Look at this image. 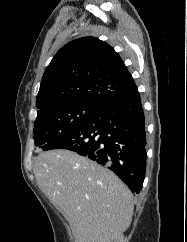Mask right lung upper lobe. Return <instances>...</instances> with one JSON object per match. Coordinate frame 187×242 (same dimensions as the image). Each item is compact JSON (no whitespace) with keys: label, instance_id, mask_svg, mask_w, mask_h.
Returning a JSON list of instances; mask_svg holds the SVG:
<instances>
[{"label":"right lung upper lobe","instance_id":"cb5924a9","mask_svg":"<svg viewBox=\"0 0 187 242\" xmlns=\"http://www.w3.org/2000/svg\"><path fill=\"white\" fill-rule=\"evenodd\" d=\"M136 89L111 46L83 37L62 47L47 66L36 98L37 113L73 102L102 106Z\"/></svg>","mask_w":187,"mask_h":242}]
</instances>
